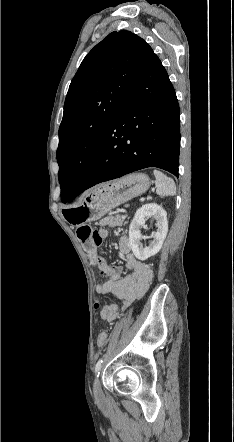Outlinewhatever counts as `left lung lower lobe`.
Here are the masks:
<instances>
[{
    "mask_svg": "<svg viewBox=\"0 0 234 442\" xmlns=\"http://www.w3.org/2000/svg\"><path fill=\"white\" fill-rule=\"evenodd\" d=\"M180 114L174 88L156 54L123 97L78 191L147 167L178 177Z\"/></svg>",
    "mask_w": 234,
    "mask_h": 442,
    "instance_id": "1",
    "label": "left lung lower lobe"
}]
</instances>
